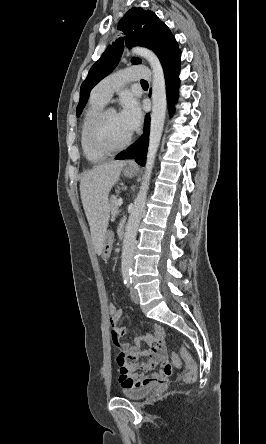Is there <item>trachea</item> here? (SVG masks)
Instances as JSON below:
<instances>
[{
	"label": "trachea",
	"mask_w": 266,
	"mask_h": 444,
	"mask_svg": "<svg viewBox=\"0 0 266 444\" xmlns=\"http://www.w3.org/2000/svg\"><path fill=\"white\" fill-rule=\"evenodd\" d=\"M140 82H141V83H147V81H146V80H141Z\"/></svg>",
	"instance_id": "obj_1"
}]
</instances>
